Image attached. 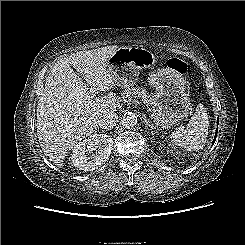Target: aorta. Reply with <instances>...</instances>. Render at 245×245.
I'll return each instance as SVG.
<instances>
[{
  "mask_svg": "<svg viewBox=\"0 0 245 245\" xmlns=\"http://www.w3.org/2000/svg\"><path fill=\"white\" fill-rule=\"evenodd\" d=\"M122 125L126 129H132L137 125V117L134 113H126L122 117Z\"/></svg>",
  "mask_w": 245,
  "mask_h": 245,
  "instance_id": "1",
  "label": "aorta"
}]
</instances>
